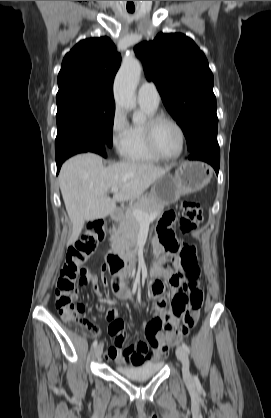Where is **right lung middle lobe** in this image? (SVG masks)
Wrapping results in <instances>:
<instances>
[{"label": "right lung middle lobe", "mask_w": 271, "mask_h": 418, "mask_svg": "<svg viewBox=\"0 0 271 418\" xmlns=\"http://www.w3.org/2000/svg\"><path fill=\"white\" fill-rule=\"evenodd\" d=\"M115 104L86 100L57 103L55 151L86 143L112 147Z\"/></svg>", "instance_id": "1"}]
</instances>
